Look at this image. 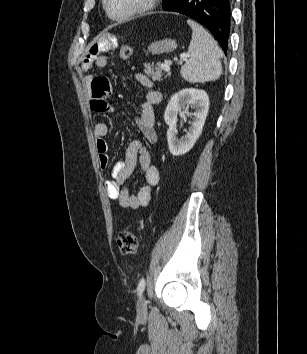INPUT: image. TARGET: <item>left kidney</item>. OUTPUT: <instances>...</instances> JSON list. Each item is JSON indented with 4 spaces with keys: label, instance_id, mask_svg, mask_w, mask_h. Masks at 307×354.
Here are the masks:
<instances>
[{
    "label": "left kidney",
    "instance_id": "1",
    "mask_svg": "<svg viewBox=\"0 0 307 354\" xmlns=\"http://www.w3.org/2000/svg\"><path fill=\"white\" fill-rule=\"evenodd\" d=\"M209 97L204 90L186 88L175 93L166 107L164 120L169 126L167 130V140L169 151L174 156L187 153L195 144L202 133V129L209 110ZM191 106L195 112L189 113ZM183 109L187 115L193 116L191 127L186 135L178 138L177 114Z\"/></svg>",
    "mask_w": 307,
    "mask_h": 354
}]
</instances>
